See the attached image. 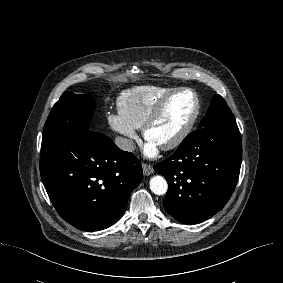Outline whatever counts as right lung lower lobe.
<instances>
[{"label": "right lung lower lobe", "instance_id": "right-lung-lower-lobe-1", "mask_svg": "<svg viewBox=\"0 0 283 283\" xmlns=\"http://www.w3.org/2000/svg\"><path fill=\"white\" fill-rule=\"evenodd\" d=\"M40 174L59 215L91 232L120 217L143 171L134 154L119 149L106 135L84 129L41 159Z\"/></svg>", "mask_w": 283, "mask_h": 283}]
</instances>
